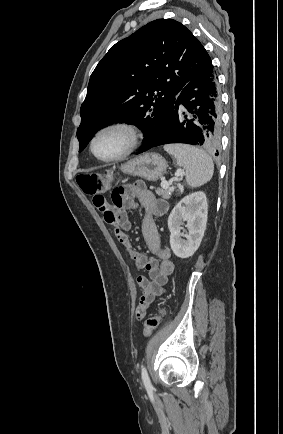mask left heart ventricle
<instances>
[{
  "mask_svg": "<svg viewBox=\"0 0 283 434\" xmlns=\"http://www.w3.org/2000/svg\"><path fill=\"white\" fill-rule=\"evenodd\" d=\"M126 147V137L121 131L111 130L103 133L95 142V152L101 157H112Z\"/></svg>",
  "mask_w": 283,
  "mask_h": 434,
  "instance_id": "left-heart-ventricle-1",
  "label": "left heart ventricle"
}]
</instances>
